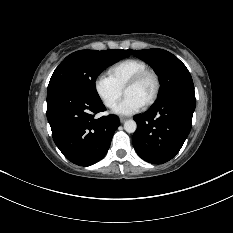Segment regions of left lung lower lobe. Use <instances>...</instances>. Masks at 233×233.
Instances as JSON below:
<instances>
[{"label":"left lung lower lobe","mask_w":233,"mask_h":233,"mask_svg":"<svg viewBox=\"0 0 233 233\" xmlns=\"http://www.w3.org/2000/svg\"><path fill=\"white\" fill-rule=\"evenodd\" d=\"M195 106L194 99L175 97L136 115L138 128L132 141L140 158L152 164L171 160L191 130Z\"/></svg>","instance_id":"left-lung-lower-lobe-1"}]
</instances>
